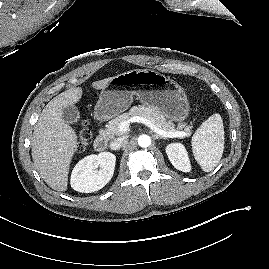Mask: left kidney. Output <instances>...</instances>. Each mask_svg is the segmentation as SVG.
I'll use <instances>...</instances> for the list:
<instances>
[{"label":"left kidney","instance_id":"obj_1","mask_svg":"<svg viewBox=\"0 0 269 269\" xmlns=\"http://www.w3.org/2000/svg\"><path fill=\"white\" fill-rule=\"evenodd\" d=\"M167 156L172 165L183 172H189L191 165L185 147L180 143H172L166 147Z\"/></svg>","mask_w":269,"mask_h":269}]
</instances>
